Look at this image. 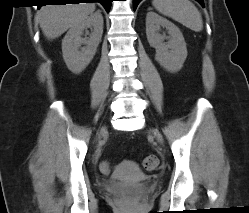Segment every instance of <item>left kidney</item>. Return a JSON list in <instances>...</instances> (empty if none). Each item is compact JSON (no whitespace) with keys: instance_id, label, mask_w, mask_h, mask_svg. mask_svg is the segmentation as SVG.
<instances>
[{"instance_id":"5707ae66","label":"left kidney","mask_w":249,"mask_h":213,"mask_svg":"<svg viewBox=\"0 0 249 213\" xmlns=\"http://www.w3.org/2000/svg\"><path fill=\"white\" fill-rule=\"evenodd\" d=\"M160 27L166 28L169 41L164 43V36L158 32ZM146 35L151 47L156 49V61L171 73L178 72L187 57L184 37L179 28L169 20L155 12H148L146 16Z\"/></svg>"}]
</instances>
